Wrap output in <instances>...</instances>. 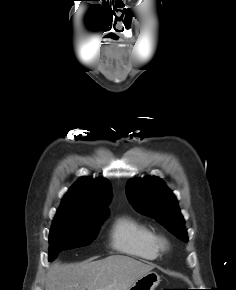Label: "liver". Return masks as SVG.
Returning a JSON list of instances; mask_svg holds the SVG:
<instances>
[{"label": "liver", "mask_w": 236, "mask_h": 290, "mask_svg": "<svg viewBox=\"0 0 236 290\" xmlns=\"http://www.w3.org/2000/svg\"><path fill=\"white\" fill-rule=\"evenodd\" d=\"M153 268L124 255L72 264L55 262L47 271L45 290H128Z\"/></svg>", "instance_id": "obj_1"}]
</instances>
